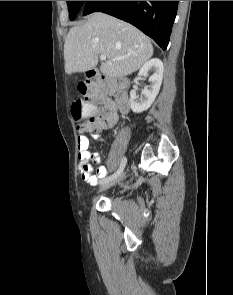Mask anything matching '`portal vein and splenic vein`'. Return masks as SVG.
<instances>
[{
  "mask_svg": "<svg viewBox=\"0 0 233 295\" xmlns=\"http://www.w3.org/2000/svg\"><path fill=\"white\" fill-rule=\"evenodd\" d=\"M106 55H100V60H102V61H104V60H106ZM119 58H115V59H112L113 61H115V60H118Z\"/></svg>",
  "mask_w": 233,
  "mask_h": 295,
  "instance_id": "obj_1",
  "label": "portal vein and splenic vein"
}]
</instances>
